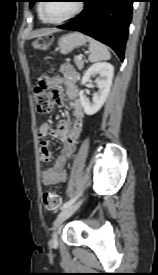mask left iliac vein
<instances>
[{"instance_id":"left-iliac-vein-1","label":"left iliac vein","mask_w":158,"mask_h":275,"mask_svg":"<svg viewBox=\"0 0 158 275\" xmlns=\"http://www.w3.org/2000/svg\"><path fill=\"white\" fill-rule=\"evenodd\" d=\"M81 205V201H79L78 203L72 204L67 208H64L57 216L55 224H54V232L52 235V240L50 242V245L53 248L57 247V232L56 229L57 227L63 222L65 221L67 218H69Z\"/></svg>"}]
</instances>
